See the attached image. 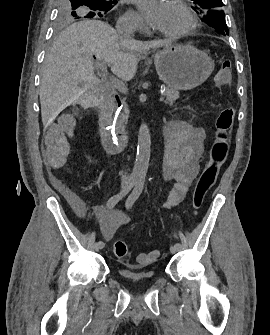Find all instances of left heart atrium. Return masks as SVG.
I'll list each match as a JSON object with an SVG mask.
<instances>
[{"label":"left heart atrium","instance_id":"1","mask_svg":"<svg viewBox=\"0 0 270 335\" xmlns=\"http://www.w3.org/2000/svg\"><path fill=\"white\" fill-rule=\"evenodd\" d=\"M137 5L151 29L150 36L173 32L171 29L175 11L173 6L162 0H138Z\"/></svg>","mask_w":270,"mask_h":335}]
</instances>
